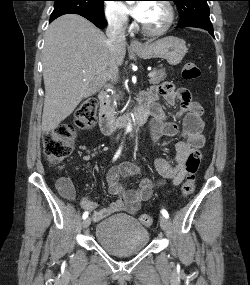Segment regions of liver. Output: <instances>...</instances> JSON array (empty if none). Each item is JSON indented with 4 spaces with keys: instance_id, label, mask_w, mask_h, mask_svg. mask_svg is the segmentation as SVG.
<instances>
[{
    "instance_id": "obj_1",
    "label": "liver",
    "mask_w": 250,
    "mask_h": 285,
    "mask_svg": "<svg viewBox=\"0 0 250 285\" xmlns=\"http://www.w3.org/2000/svg\"><path fill=\"white\" fill-rule=\"evenodd\" d=\"M126 44L115 53L105 34L85 18L67 14L53 21L45 34L42 131L55 129L82 101L109 79V67L122 65Z\"/></svg>"
}]
</instances>
